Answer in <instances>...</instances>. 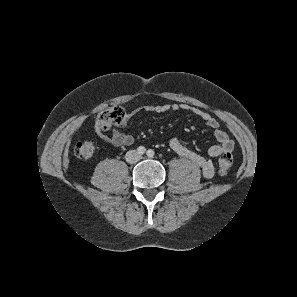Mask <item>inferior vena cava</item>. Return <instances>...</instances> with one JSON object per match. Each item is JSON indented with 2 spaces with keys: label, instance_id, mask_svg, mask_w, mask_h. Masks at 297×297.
Here are the masks:
<instances>
[{
  "label": "inferior vena cava",
  "instance_id": "obj_1",
  "mask_svg": "<svg viewBox=\"0 0 297 297\" xmlns=\"http://www.w3.org/2000/svg\"><path fill=\"white\" fill-rule=\"evenodd\" d=\"M125 159L128 163L134 164L141 159V154L136 150H130L126 153Z\"/></svg>",
  "mask_w": 297,
  "mask_h": 297
}]
</instances>
